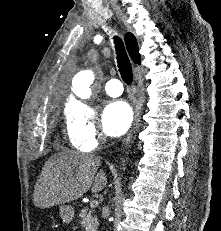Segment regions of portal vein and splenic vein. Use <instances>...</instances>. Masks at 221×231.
<instances>
[{
    "label": "portal vein and splenic vein",
    "instance_id": "obj_1",
    "mask_svg": "<svg viewBox=\"0 0 221 231\" xmlns=\"http://www.w3.org/2000/svg\"><path fill=\"white\" fill-rule=\"evenodd\" d=\"M98 205V201H96V200H92L91 202H90V206L91 207H96Z\"/></svg>",
    "mask_w": 221,
    "mask_h": 231
}]
</instances>
